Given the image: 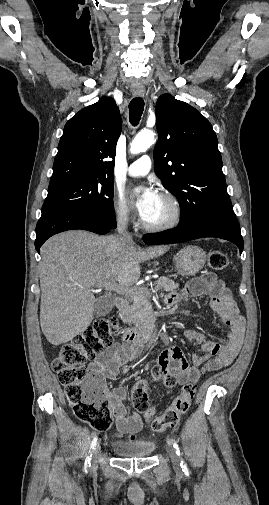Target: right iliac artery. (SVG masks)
I'll return each instance as SVG.
<instances>
[{
  "instance_id": "82829eb1",
  "label": "right iliac artery",
  "mask_w": 269,
  "mask_h": 505,
  "mask_svg": "<svg viewBox=\"0 0 269 505\" xmlns=\"http://www.w3.org/2000/svg\"><path fill=\"white\" fill-rule=\"evenodd\" d=\"M97 440H98V438H97V437H95V438L93 439V441H92V443H91V445H90V450H89L88 455H87V457H86V459H85V463H84V471H85L86 473L88 472V468L91 466V463H90V461H91V451H93V450L95 449L96 444H97Z\"/></svg>"
}]
</instances>
